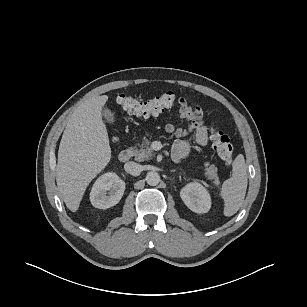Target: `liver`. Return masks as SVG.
<instances>
[{"mask_svg":"<svg viewBox=\"0 0 307 307\" xmlns=\"http://www.w3.org/2000/svg\"><path fill=\"white\" fill-rule=\"evenodd\" d=\"M107 95L82 103L71 115L58 150L56 182L67 208L76 212L89 183L108 165L111 148L102 108Z\"/></svg>","mask_w":307,"mask_h":307,"instance_id":"obj_1","label":"liver"}]
</instances>
